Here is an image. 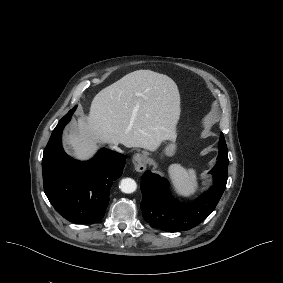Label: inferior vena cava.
<instances>
[{"mask_svg":"<svg viewBox=\"0 0 283 283\" xmlns=\"http://www.w3.org/2000/svg\"><path fill=\"white\" fill-rule=\"evenodd\" d=\"M112 148L118 153H123L122 149L117 146H113Z\"/></svg>","mask_w":283,"mask_h":283,"instance_id":"obj_1","label":"inferior vena cava"}]
</instances>
